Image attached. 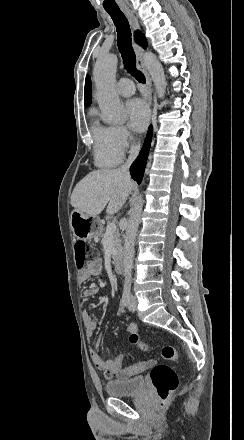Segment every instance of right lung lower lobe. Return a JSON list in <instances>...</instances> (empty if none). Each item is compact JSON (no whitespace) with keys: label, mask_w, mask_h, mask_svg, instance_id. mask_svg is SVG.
<instances>
[{"label":"right lung lower lobe","mask_w":244,"mask_h":440,"mask_svg":"<svg viewBox=\"0 0 244 440\" xmlns=\"http://www.w3.org/2000/svg\"><path fill=\"white\" fill-rule=\"evenodd\" d=\"M151 139H152V127L150 126L148 129L144 144L142 146V149L139 153V156L137 157V159L134 161V163L130 167L131 177L138 184L141 183L142 178H143V174H144V170H145V166H146V162H147V158H148V153L150 150Z\"/></svg>","instance_id":"1"}]
</instances>
